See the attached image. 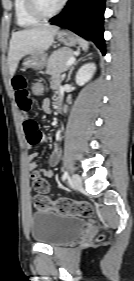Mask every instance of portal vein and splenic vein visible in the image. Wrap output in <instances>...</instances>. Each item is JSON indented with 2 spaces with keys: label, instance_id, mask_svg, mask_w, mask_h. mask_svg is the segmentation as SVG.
Instances as JSON below:
<instances>
[{
  "label": "portal vein and splenic vein",
  "instance_id": "portal-vein-and-splenic-vein-1",
  "mask_svg": "<svg viewBox=\"0 0 134 281\" xmlns=\"http://www.w3.org/2000/svg\"><path fill=\"white\" fill-rule=\"evenodd\" d=\"M74 62H75V57H71V58L67 61L66 66L68 67V66L72 65Z\"/></svg>",
  "mask_w": 134,
  "mask_h": 281
}]
</instances>
